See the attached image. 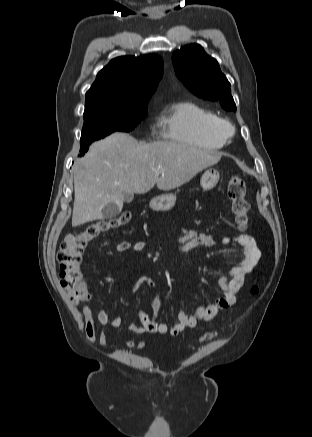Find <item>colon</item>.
Instances as JSON below:
<instances>
[{
	"label": "colon",
	"mask_w": 312,
	"mask_h": 437,
	"mask_svg": "<svg viewBox=\"0 0 312 437\" xmlns=\"http://www.w3.org/2000/svg\"><path fill=\"white\" fill-rule=\"evenodd\" d=\"M227 194L231 203V211L237 229L244 232L249 224V203L246 200V186L243 178L232 176L227 184ZM130 214L124 212L112 219L101 220L87 226L82 231L71 233L61 243L57 253L60 267V281L69 300L78 305L88 300L87 284L81 272L82 254L87 244L102 233L118 228L128 222ZM255 286L252 292L257 293ZM216 336L215 332L205 334V339L210 340Z\"/></svg>",
	"instance_id": "colon-1"
}]
</instances>
